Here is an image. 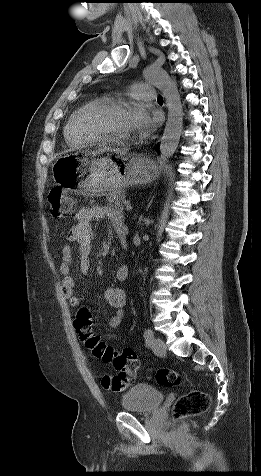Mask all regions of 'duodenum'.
I'll list each match as a JSON object with an SVG mask.
<instances>
[{"label":"duodenum","instance_id":"410a0bca","mask_svg":"<svg viewBox=\"0 0 261 476\" xmlns=\"http://www.w3.org/2000/svg\"><path fill=\"white\" fill-rule=\"evenodd\" d=\"M118 238L121 242V244L126 247L127 246V234L126 231L123 229L118 230L117 232Z\"/></svg>","mask_w":261,"mask_h":476}]
</instances>
